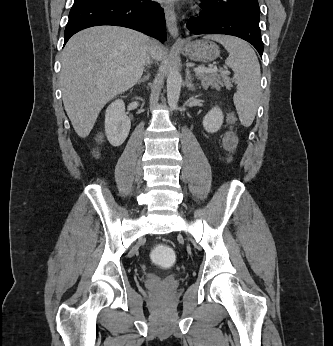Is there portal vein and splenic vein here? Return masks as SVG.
<instances>
[{
  "label": "portal vein and splenic vein",
  "mask_w": 333,
  "mask_h": 346,
  "mask_svg": "<svg viewBox=\"0 0 333 346\" xmlns=\"http://www.w3.org/2000/svg\"><path fill=\"white\" fill-rule=\"evenodd\" d=\"M194 71L197 73H206V74H210V73H216L218 71L217 68H206V67H196L194 68ZM223 74H229L228 70L225 71H220Z\"/></svg>",
  "instance_id": "18ae733b"
}]
</instances>
